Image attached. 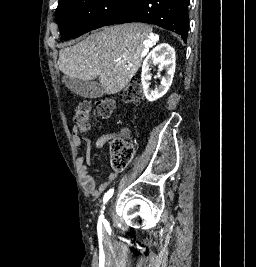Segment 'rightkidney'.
I'll return each instance as SVG.
<instances>
[{
  "mask_svg": "<svg viewBox=\"0 0 256 267\" xmlns=\"http://www.w3.org/2000/svg\"><path fill=\"white\" fill-rule=\"evenodd\" d=\"M175 60V50L169 44H159V46L153 48L152 52H149L148 56H146L142 66L141 80L148 102H155V100L162 98L168 92L175 74ZM156 64H158L159 72L166 70V74L162 78L160 86L152 90L150 88V80L152 78L150 70Z\"/></svg>",
  "mask_w": 256,
  "mask_h": 267,
  "instance_id": "ca27d5eb",
  "label": "right kidney"
}]
</instances>
